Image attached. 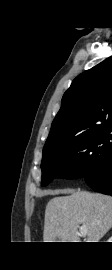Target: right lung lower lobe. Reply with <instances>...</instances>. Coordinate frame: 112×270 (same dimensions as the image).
<instances>
[{
	"instance_id": "98d812e1",
	"label": "right lung lower lobe",
	"mask_w": 112,
	"mask_h": 270,
	"mask_svg": "<svg viewBox=\"0 0 112 270\" xmlns=\"http://www.w3.org/2000/svg\"><path fill=\"white\" fill-rule=\"evenodd\" d=\"M84 178L93 190L112 196V147L105 154L99 168L89 171Z\"/></svg>"
}]
</instances>
